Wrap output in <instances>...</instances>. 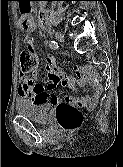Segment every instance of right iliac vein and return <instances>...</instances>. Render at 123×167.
Returning a JSON list of instances; mask_svg holds the SVG:
<instances>
[{"mask_svg":"<svg viewBox=\"0 0 123 167\" xmlns=\"http://www.w3.org/2000/svg\"><path fill=\"white\" fill-rule=\"evenodd\" d=\"M55 37L59 42H64V36L61 33L56 32Z\"/></svg>","mask_w":123,"mask_h":167,"instance_id":"1","label":"right iliac vein"}]
</instances>
